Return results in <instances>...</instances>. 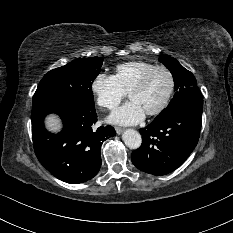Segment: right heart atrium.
Wrapping results in <instances>:
<instances>
[{
    "instance_id": "1",
    "label": "right heart atrium",
    "mask_w": 233,
    "mask_h": 233,
    "mask_svg": "<svg viewBox=\"0 0 233 233\" xmlns=\"http://www.w3.org/2000/svg\"><path fill=\"white\" fill-rule=\"evenodd\" d=\"M90 88L97 105L105 109L115 108L125 96L115 78L103 72L94 76Z\"/></svg>"
}]
</instances>
